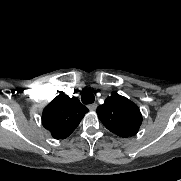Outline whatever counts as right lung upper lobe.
Here are the masks:
<instances>
[{"instance_id":"cb5924a9","label":"right lung upper lobe","mask_w":181,"mask_h":181,"mask_svg":"<svg viewBox=\"0 0 181 181\" xmlns=\"http://www.w3.org/2000/svg\"><path fill=\"white\" fill-rule=\"evenodd\" d=\"M89 110L76 97L63 92L55 97L43 110L42 125L53 138L65 139L75 130Z\"/></svg>"}]
</instances>
